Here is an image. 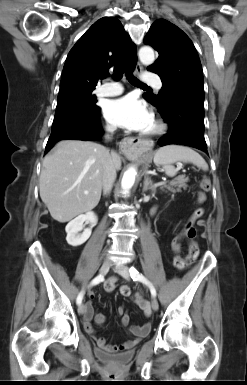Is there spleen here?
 <instances>
[{
	"mask_svg": "<svg viewBox=\"0 0 247 385\" xmlns=\"http://www.w3.org/2000/svg\"><path fill=\"white\" fill-rule=\"evenodd\" d=\"M154 163L162 166L167 176H175L177 170L173 166L176 162L192 163L203 170H208V165L202 156L192 148L182 145H166L159 148L154 155Z\"/></svg>",
	"mask_w": 247,
	"mask_h": 385,
	"instance_id": "3e777b00",
	"label": "spleen"
}]
</instances>
